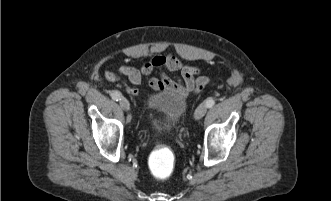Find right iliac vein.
Masks as SVG:
<instances>
[{"label":"right iliac vein","instance_id":"63e3f726","mask_svg":"<svg viewBox=\"0 0 331 201\" xmlns=\"http://www.w3.org/2000/svg\"><path fill=\"white\" fill-rule=\"evenodd\" d=\"M119 104L124 111L130 110V103L126 98L122 97L119 101Z\"/></svg>","mask_w":331,"mask_h":201}]
</instances>
